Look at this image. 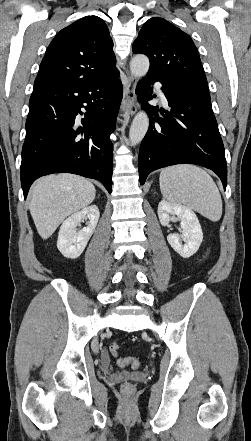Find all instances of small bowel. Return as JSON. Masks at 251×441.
Segmentation results:
<instances>
[{"mask_svg": "<svg viewBox=\"0 0 251 441\" xmlns=\"http://www.w3.org/2000/svg\"><path fill=\"white\" fill-rule=\"evenodd\" d=\"M102 358H103L104 361H108V355H107L106 352H104V353L102 354Z\"/></svg>", "mask_w": 251, "mask_h": 441, "instance_id": "small-bowel-1", "label": "small bowel"}]
</instances>
